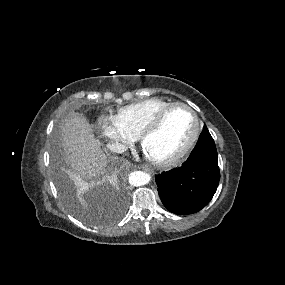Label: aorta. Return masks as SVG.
I'll list each match as a JSON object with an SVG mask.
<instances>
[{"label":"aorta","mask_w":285,"mask_h":285,"mask_svg":"<svg viewBox=\"0 0 285 285\" xmlns=\"http://www.w3.org/2000/svg\"><path fill=\"white\" fill-rule=\"evenodd\" d=\"M151 176L143 171H134L129 175V182L133 186H142L147 184Z\"/></svg>","instance_id":"obj_1"}]
</instances>
